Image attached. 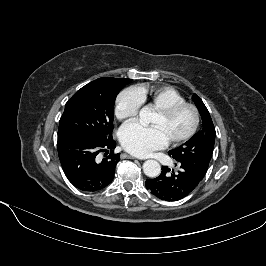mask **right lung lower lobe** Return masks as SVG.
<instances>
[{
    "label": "right lung lower lobe",
    "mask_w": 266,
    "mask_h": 266,
    "mask_svg": "<svg viewBox=\"0 0 266 266\" xmlns=\"http://www.w3.org/2000/svg\"><path fill=\"white\" fill-rule=\"evenodd\" d=\"M116 142L112 136L99 140L86 136L58 138V155L68 180L78 189L94 192L107 187L113 180L120 154L114 153ZM110 154L99 161V152Z\"/></svg>",
    "instance_id": "98d812e1"
}]
</instances>
